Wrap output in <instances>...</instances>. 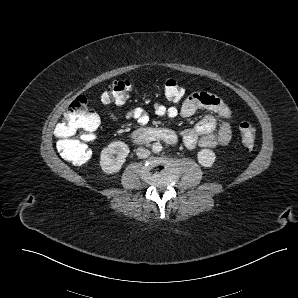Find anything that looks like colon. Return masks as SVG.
Returning a JSON list of instances; mask_svg holds the SVG:
<instances>
[{
	"label": "colon",
	"mask_w": 298,
	"mask_h": 298,
	"mask_svg": "<svg viewBox=\"0 0 298 298\" xmlns=\"http://www.w3.org/2000/svg\"><path fill=\"white\" fill-rule=\"evenodd\" d=\"M131 88L132 81L129 79L115 81L102 94V101L122 104L128 99ZM163 93L167 100L178 102L183 98L185 90L177 80L167 79L163 84ZM99 124V118L89 109L86 98L78 96L68 106L63 119L55 128L59 149L66 155L74 156L73 160L79 164L87 162L91 154L83 142L95 138ZM239 131L243 145L252 147L256 140L254 126L244 121L240 123ZM77 153L80 154L78 158L75 157Z\"/></svg>",
	"instance_id": "5ec220e1"
}]
</instances>
